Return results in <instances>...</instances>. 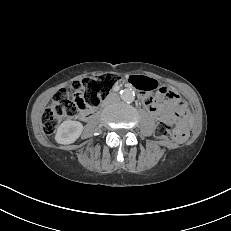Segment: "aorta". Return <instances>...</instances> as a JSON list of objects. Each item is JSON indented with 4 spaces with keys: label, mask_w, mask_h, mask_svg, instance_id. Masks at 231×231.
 <instances>
[{
    "label": "aorta",
    "mask_w": 231,
    "mask_h": 231,
    "mask_svg": "<svg viewBox=\"0 0 231 231\" xmlns=\"http://www.w3.org/2000/svg\"><path fill=\"white\" fill-rule=\"evenodd\" d=\"M121 99L125 102H132L135 99V94L130 89H125L121 93Z\"/></svg>",
    "instance_id": "aorta-1"
}]
</instances>
